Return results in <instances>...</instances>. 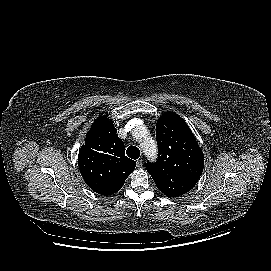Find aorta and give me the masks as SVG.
Listing matches in <instances>:
<instances>
[{
  "label": "aorta",
  "instance_id": "1",
  "mask_svg": "<svg viewBox=\"0 0 271 271\" xmlns=\"http://www.w3.org/2000/svg\"><path fill=\"white\" fill-rule=\"evenodd\" d=\"M136 132L138 136H143L145 138L141 143L144 154L147 156V158H155L157 155V145L155 140L148 136L147 128L145 126H140Z\"/></svg>",
  "mask_w": 271,
  "mask_h": 271
}]
</instances>
